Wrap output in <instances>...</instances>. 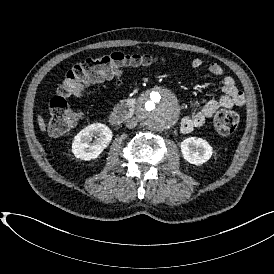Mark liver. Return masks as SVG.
Here are the masks:
<instances>
[{"mask_svg": "<svg viewBox=\"0 0 274 274\" xmlns=\"http://www.w3.org/2000/svg\"><path fill=\"white\" fill-rule=\"evenodd\" d=\"M38 124L41 131H46V124L44 122V119L40 115L38 116Z\"/></svg>", "mask_w": 274, "mask_h": 274, "instance_id": "1", "label": "liver"}]
</instances>
